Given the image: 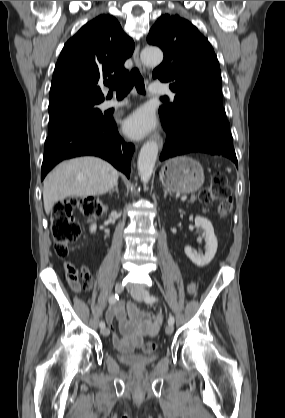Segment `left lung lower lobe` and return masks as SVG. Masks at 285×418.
<instances>
[{"label": "left lung lower lobe", "mask_w": 285, "mask_h": 418, "mask_svg": "<svg viewBox=\"0 0 285 418\" xmlns=\"http://www.w3.org/2000/svg\"><path fill=\"white\" fill-rule=\"evenodd\" d=\"M162 122V121H161ZM167 133L160 161L190 152L222 155L238 164L229 123L225 118L200 113L170 127L162 122Z\"/></svg>", "instance_id": "obj_1"}]
</instances>
